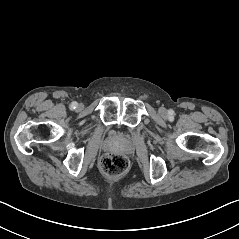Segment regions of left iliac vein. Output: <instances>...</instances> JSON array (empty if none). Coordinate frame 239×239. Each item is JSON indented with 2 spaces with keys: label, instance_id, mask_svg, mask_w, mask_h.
<instances>
[{
  "label": "left iliac vein",
  "instance_id": "4c4485c4",
  "mask_svg": "<svg viewBox=\"0 0 239 239\" xmlns=\"http://www.w3.org/2000/svg\"><path fill=\"white\" fill-rule=\"evenodd\" d=\"M159 113L161 116L165 117L167 115V110L163 107L159 108Z\"/></svg>",
  "mask_w": 239,
  "mask_h": 239
}]
</instances>
